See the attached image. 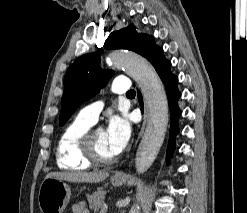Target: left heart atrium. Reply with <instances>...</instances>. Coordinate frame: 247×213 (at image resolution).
<instances>
[{
	"instance_id": "39dd6f15",
	"label": "left heart atrium",
	"mask_w": 247,
	"mask_h": 213,
	"mask_svg": "<svg viewBox=\"0 0 247 213\" xmlns=\"http://www.w3.org/2000/svg\"><path fill=\"white\" fill-rule=\"evenodd\" d=\"M131 127L128 120L121 116H113L108 123L106 140L113 155H118L128 143Z\"/></svg>"
}]
</instances>
